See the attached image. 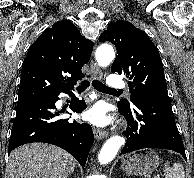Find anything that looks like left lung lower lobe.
Returning a JSON list of instances; mask_svg holds the SVG:
<instances>
[{
  "instance_id": "left-lung-lower-lobe-1",
  "label": "left lung lower lobe",
  "mask_w": 194,
  "mask_h": 178,
  "mask_svg": "<svg viewBox=\"0 0 194 178\" xmlns=\"http://www.w3.org/2000/svg\"><path fill=\"white\" fill-rule=\"evenodd\" d=\"M118 108L128 122L127 142L121 153L161 148L176 151L186 159L169 97L135 94L130 107Z\"/></svg>"
}]
</instances>
